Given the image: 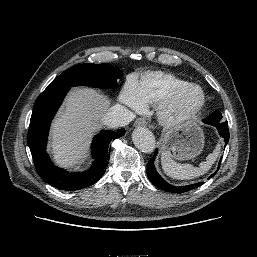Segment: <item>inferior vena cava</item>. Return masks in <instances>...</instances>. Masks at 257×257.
Here are the masks:
<instances>
[{"label":"inferior vena cava","mask_w":257,"mask_h":257,"mask_svg":"<svg viewBox=\"0 0 257 257\" xmlns=\"http://www.w3.org/2000/svg\"><path fill=\"white\" fill-rule=\"evenodd\" d=\"M135 115L126 107L116 104L104 116L103 120L109 127H123L128 125Z\"/></svg>","instance_id":"1"}]
</instances>
